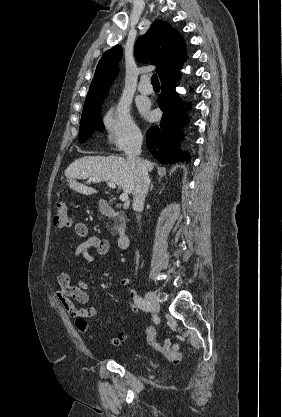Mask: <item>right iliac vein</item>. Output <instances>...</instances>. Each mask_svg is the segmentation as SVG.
<instances>
[{
    "mask_svg": "<svg viewBox=\"0 0 282 417\" xmlns=\"http://www.w3.org/2000/svg\"><path fill=\"white\" fill-rule=\"evenodd\" d=\"M145 297H146L147 301L152 305V307L154 308L155 311L160 310L159 299L154 292H152V291L146 292Z\"/></svg>",
    "mask_w": 282,
    "mask_h": 417,
    "instance_id": "obj_1",
    "label": "right iliac vein"
}]
</instances>
